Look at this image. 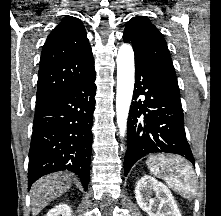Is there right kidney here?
Masks as SVG:
<instances>
[{"mask_svg": "<svg viewBox=\"0 0 221 216\" xmlns=\"http://www.w3.org/2000/svg\"><path fill=\"white\" fill-rule=\"evenodd\" d=\"M45 216H72V211L69 205L59 204L49 210Z\"/></svg>", "mask_w": 221, "mask_h": 216, "instance_id": "ca27d5eb", "label": "right kidney"}]
</instances>
